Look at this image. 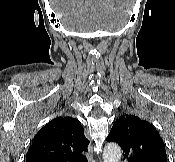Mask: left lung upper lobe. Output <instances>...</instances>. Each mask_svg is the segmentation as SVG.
Returning a JSON list of instances; mask_svg holds the SVG:
<instances>
[{
    "instance_id": "obj_1",
    "label": "left lung upper lobe",
    "mask_w": 175,
    "mask_h": 162,
    "mask_svg": "<svg viewBox=\"0 0 175 162\" xmlns=\"http://www.w3.org/2000/svg\"><path fill=\"white\" fill-rule=\"evenodd\" d=\"M107 141L118 143L128 162H167L162 138L149 122L137 116L117 119Z\"/></svg>"
}]
</instances>
